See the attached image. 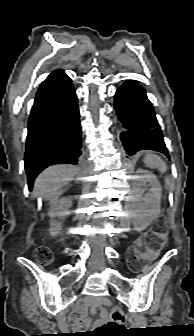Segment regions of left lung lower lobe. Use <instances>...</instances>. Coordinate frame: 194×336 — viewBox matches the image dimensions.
I'll use <instances>...</instances> for the list:
<instances>
[{"label":"left lung lower lobe","instance_id":"obj_1","mask_svg":"<svg viewBox=\"0 0 194 336\" xmlns=\"http://www.w3.org/2000/svg\"><path fill=\"white\" fill-rule=\"evenodd\" d=\"M114 107L124 128L120 138L129 156L149 149L169 158L155 111L146 92L137 82L126 81L115 94Z\"/></svg>","mask_w":194,"mask_h":336}]
</instances>
